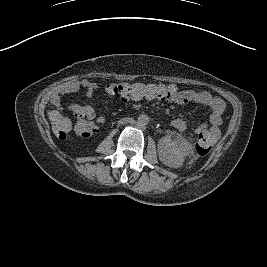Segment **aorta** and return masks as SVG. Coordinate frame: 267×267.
Listing matches in <instances>:
<instances>
[{"label":"aorta","instance_id":"obj_1","mask_svg":"<svg viewBox=\"0 0 267 267\" xmlns=\"http://www.w3.org/2000/svg\"><path fill=\"white\" fill-rule=\"evenodd\" d=\"M148 122H149V118H148L147 115H143V114L142 115H139V117L137 119V124L139 126H145V125L148 124Z\"/></svg>","mask_w":267,"mask_h":267}]
</instances>
